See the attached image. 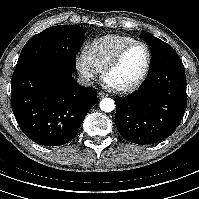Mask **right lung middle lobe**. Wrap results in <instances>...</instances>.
<instances>
[{
	"label": "right lung middle lobe",
	"instance_id": "right-lung-middle-lobe-1",
	"mask_svg": "<svg viewBox=\"0 0 199 199\" xmlns=\"http://www.w3.org/2000/svg\"><path fill=\"white\" fill-rule=\"evenodd\" d=\"M84 29L58 25L34 35L23 47L13 75L39 66H59L76 71V54L84 42Z\"/></svg>",
	"mask_w": 199,
	"mask_h": 199
}]
</instances>
